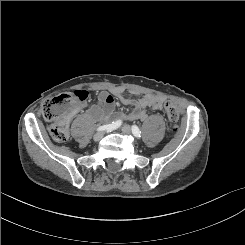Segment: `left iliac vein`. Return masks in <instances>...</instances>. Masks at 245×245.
<instances>
[{
	"label": "left iliac vein",
	"mask_w": 245,
	"mask_h": 245,
	"mask_svg": "<svg viewBox=\"0 0 245 245\" xmlns=\"http://www.w3.org/2000/svg\"><path fill=\"white\" fill-rule=\"evenodd\" d=\"M121 130H122L123 133L129 134V133H131L132 128L129 125H123Z\"/></svg>",
	"instance_id": "4c4485c4"
}]
</instances>
